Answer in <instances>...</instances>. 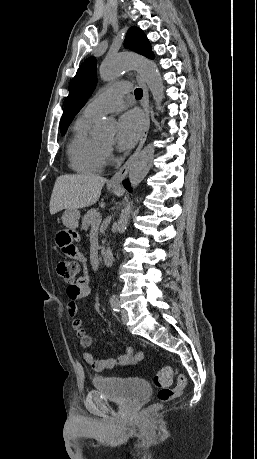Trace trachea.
<instances>
[{"mask_svg":"<svg viewBox=\"0 0 257 459\" xmlns=\"http://www.w3.org/2000/svg\"><path fill=\"white\" fill-rule=\"evenodd\" d=\"M134 94H135V97H136L137 99H140V98H142V96H143V91H142V89L138 88V89H136V90L134 91Z\"/></svg>","mask_w":257,"mask_h":459,"instance_id":"3493384b","label":"trachea"}]
</instances>
